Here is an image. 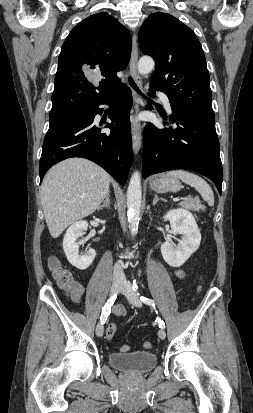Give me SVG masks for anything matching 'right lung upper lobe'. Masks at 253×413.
Returning <instances> with one entry per match:
<instances>
[{
	"label": "right lung upper lobe",
	"instance_id": "right-lung-upper-lobe-1",
	"mask_svg": "<svg viewBox=\"0 0 253 413\" xmlns=\"http://www.w3.org/2000/svg\"><path fill=\"white\" fill-rule=\"evenodd\" d=\"M131 48L129 31L108 13L76 25L59 55L50 117L82 111L120 88L116 73L127 66Z\"/></svg>",
	"mask_w": 253,
	"mask_h": 413
}]
</instances>
